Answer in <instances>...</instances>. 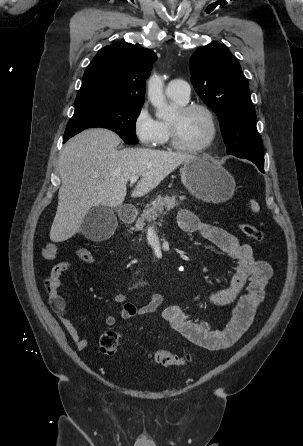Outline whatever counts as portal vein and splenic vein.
Returning <instances> with one entry per match:
<instances>
[{
    "instance_id": "1",
    "label": "portal vein and splenic vein",
    "mask_w": 303,
    "mask_h": 446,
    "mask_svg": "<svg viewBox=\"0 0 303 446\" xmlns=\"http://www.w3.org/2000/svg\"><path fill=\"white\" fill-rule=\"evenodd\" d=\"M138 178H139V175L132 176V177L130 178V183H131V184L135 183V182L138 180Z\"/></svg>"
}]
</instances>
